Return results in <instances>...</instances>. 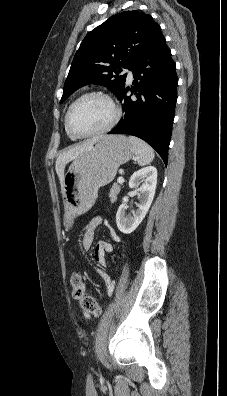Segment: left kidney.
Instances as JSON below:
<instances>
[{
    "instance_id": "5707ae66",
    "label": "left kidney",
    "mask_w": 227,
    "mask_h": 396,
    "mask_svg": "<svg viewBox=\"0 0 227 396\" xmlns=\"http://www.w3.org/2000/svg\"><path fill=\"white\" fill-rule=\"evenodd\" d=\"M141 180L144 181V184L138 189L140 192L139 203L137 204L138 208L133 212V216L126 214L128 208L127 196L123 198L116 214L117 227L124 234L132 233L147 214L155 195L157 169L154 166H147L134 172L130 177L129 187L131 189L137 187Z\"/></svg>"
}]
</instances>
